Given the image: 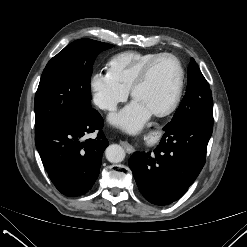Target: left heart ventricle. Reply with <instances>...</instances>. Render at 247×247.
<instances>
[{
    "mask_svg": "<svg viewBox=\"0 0 247 247\" xmlns=\"http://www.w3.org/2000/svg\"><path fill=\"white\" fill-rule=\"evenodd\" d=\"M178 80V68L171 58H162L150 71L146 81L137 89L135 100L150 111L163 108L170 101Z\"/></svg>",
    "mask_w": 247,
    "mask_h": 247,
    "instance_id": "obj_1",
    "label": "left heart ventricle"
}]
</instances>
